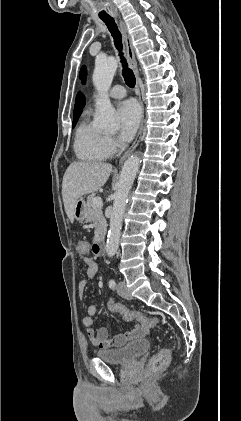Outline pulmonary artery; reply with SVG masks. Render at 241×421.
<instances>
[{"label":"pulmonary artery","instance_id":"1","mask_svg":"<svg viewBox=\"0 0 241 421\" xmlns=\"http://www.w3.org/2000/svg\"><path fill=\"white\" fill-rule=\"evenodd\" d=\"M126 95V90L121 85H115L112 87V89L109 91V96L114 99H121Z\"/></svg>","mask_w":241,"mask_h":421}]
</instances>
